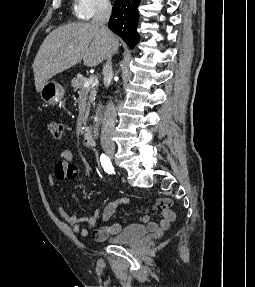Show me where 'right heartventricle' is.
I'll return each instance as SVG.
<instances>
[{
	"label": "right heart ventricle",
	"mask_w": 255,
	"mask_h": 287,
	"mask_svg": "<svg viewBox=\"0 0 255 287\" xmlns=\"http://www.w3.org/2000/svg\"><path fill=\"white\" fill-rule=\"evenodd\" d=\"M74 39V38H73ZM122 48H132V47H122Z\"/></svg>",
	"instance_id": "1"
}]
</instances>
